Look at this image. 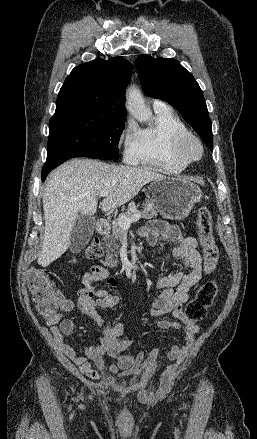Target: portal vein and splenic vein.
Returning <instances> with one entry per match:
<instances>
[{"label":"portal vein and splenic vein","mask_w":257,"mask_h":439,"mask_svg":"<svg viewBox=\"0 0 257 439\" xmlns=\"http://www.w3.org/2000/svg\"><path fill=\"white\" fill-rule=\"evenodd\" d=\"M108 194H109V192L106 190L100 192V196H102V197H106V196H108ZM140 217H141V212H136L135 214H133L130 217L120 215L118 218V224L122 228H129L131 223L138 221L140 219Z\"/></svg>","instance_id":"18ae733b"}]
</instances>
